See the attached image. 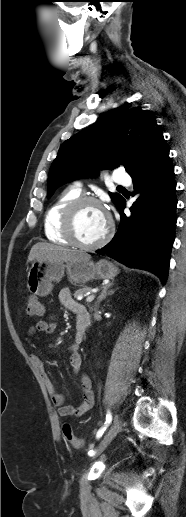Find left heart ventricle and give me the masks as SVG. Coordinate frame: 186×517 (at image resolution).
<instances>
[{
  "label": "left heart ventricle",
  "mask_w": 186,
  "mask_h": 517,
  "mask_svg": "<svg viewBox=\"0 0 186 517\" xmlns=\"http://www.w3.org/2000/svg\"><path fill=\"white\" fill-rule=\"evenodd\" d=\"M108 228V216L105 211L96 205L84 206L76 220L78 238L84 243L98 241Z\"/></svg>",
  "instance_id": "b2bd125f"
}]
</instances>
